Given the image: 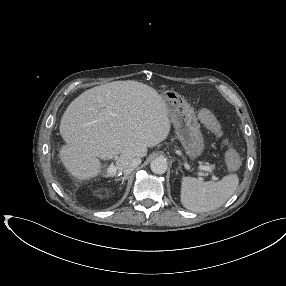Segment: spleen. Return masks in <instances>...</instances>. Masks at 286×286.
I'll return each instance as SVG.
<instances>
[{
	"label": "spleen",
	"instance_id": "obj_1",
	"mask_svg": "<svg viewBox=\"0 0 286 286\" xmlns=\"http://www.w3.org/2000/svg\"><path fill=\"white\" fill-rule=\"evenodd\" d=\"M239 184L236 174L224 176L220 181L203 182L193 177H183L180 199L182 205L194 212L215 210L226 203Z\"/></svg>",
	"mask_w": 286,
	"mask_h": 286
}]
</instances>
